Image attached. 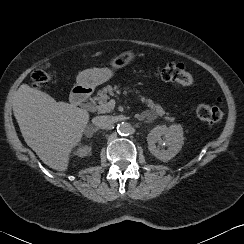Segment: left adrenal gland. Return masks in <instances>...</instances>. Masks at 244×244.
<instances>
[{"mask_svg": "<svg viewBox=\"0 0 244 244\" xmlns=\"http://www.w3.org/2000/svg\"><path fill=\"white\" fill-rule=\"evenodd\" d=\"M145 114H140V115H137V119L140 120V121H143L145 119Z\"/></svg>", "mask_w": 244, "mask_h": 244, "instance_id": "a2214340", "label": "left adrenal gland"}]
</instances>
